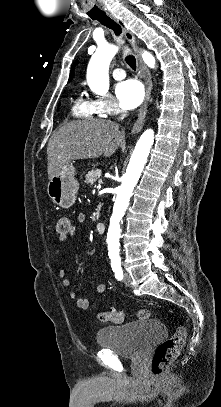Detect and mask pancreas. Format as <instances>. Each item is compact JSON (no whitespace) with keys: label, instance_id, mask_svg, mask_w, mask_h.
I'll list each match as a JSON object with an SVG mask.
<instances>
[{"label":"pancreas","instance_id":"1","mask_svg":"<svg viewBox=\"0 0 221 407\" xmlns=\"http://www.w3.org/2000/svg\"><path fill=\"white\" fill-rule=\"evenodd\" d=\"M101 175V170L100 169H94L89 171L86 176H85V183L88 186H92L95 184V182L99 179ZM99 215V212H97V216Z\"/></svg>","mask_w":221,"mask_h":407}]
</instances>
